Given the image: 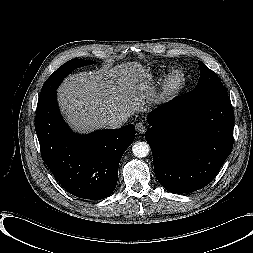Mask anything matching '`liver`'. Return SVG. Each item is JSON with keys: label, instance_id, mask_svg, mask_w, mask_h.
Wrapping results in <instances>:
<instances>
[{"label": "liver", "instance_id": "6515ba94", "mask_svg": "<svg viewBox=\"0 0 253 253\" xmlns=\"http://www.w3.org/2000/svg\"><path fill=\"white\" fill-rule=\"evenodd\" d=\"M57 92L68 124L82 133L106 128L111 117L128 119L156 97L152 76L138 63L70 75Z\"/></svg>", "mask_w": 253, "mask_h": 253}]
</instances>
